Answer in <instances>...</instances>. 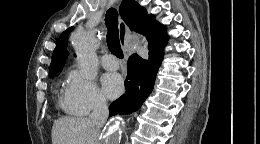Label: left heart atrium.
<instances>
[{
  "label": "left heart atrium",
  "instance_id": "1",
  "mask_svg": "<svg viewBox=\"0 0 260 144\" xmlns=\"http://www.w3.org/2000/svg\"><path fill=\"white\" fill-rule=\"evenodd\" d=\"M103 88L109 98L119 96L123 91L122 77L117 73H107L102 78Z\"/></svg>",
  "mask_w": 260,
  "mask_h": 144
}]
</instances>
